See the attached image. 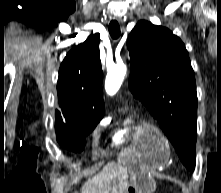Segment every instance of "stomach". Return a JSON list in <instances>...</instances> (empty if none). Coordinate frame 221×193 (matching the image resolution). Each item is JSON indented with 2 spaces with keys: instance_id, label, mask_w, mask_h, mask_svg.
<instances>
[{
  "instance_id": "1",
  "label": "stomach",
  "mask_w": 221,
  "mask_h": 193,
  "mask_svg": "<svg viewBox=\"0 0 221 193\" xmlns=\"http://www.w3.org/2000/svg\"><path fill=\"white\" fill-rule=\"evenodd\" d=\"M140 129L131 133L134 142H129L126 154H122L119 163L123 167H130L129 174L133 177L124 193H151L153 186L152 172L154 167H166L169 159L167 142L159 137L158 129L154 125L139 123Z\"/></svg>"
}]
</instances>
